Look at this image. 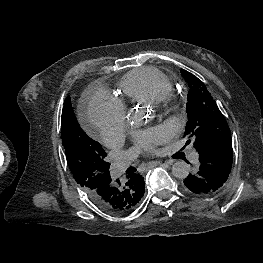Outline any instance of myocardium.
<instances>
[{"instance_id":"obj_1","label":"myocardium","mask_w":263,"mask_h":263,"mask_svg":"<svg viewBox=\"0 0 263 263\" xmlns=\"http://www.w3.org/2000/svg\"><path fill=\"white\" fill-rule=\"evenodd\" d=\"M171 101H172L171 95H167V96L163 97L161 100L157 101L156 103L167 105V104L171 103Z\"/></svg>"}]
</instances>
